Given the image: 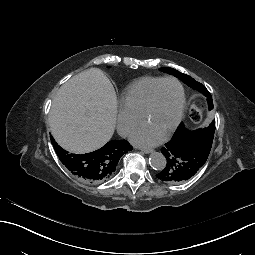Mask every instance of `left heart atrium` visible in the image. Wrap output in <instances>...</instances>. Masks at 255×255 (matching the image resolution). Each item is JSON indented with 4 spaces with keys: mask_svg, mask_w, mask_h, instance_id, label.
Instances as JSON below:
<instances>
[{
    "mask_svg": "<svg viewBox=\"0 0 255 255\" xmlns=\"http://www.w3.org/2000/svg\"><path fill=\"white\" fill-rule=\"evenodd\" d=\"M162 137L145 126L136 129L132 135V140L138 145H155L161 141Z\"/></svg>",
    "mask_w": 255,
    "mask_h": 255,
    "instance_id": "obj_1",
    "label": "left heart atrium"
}]
</instances>
